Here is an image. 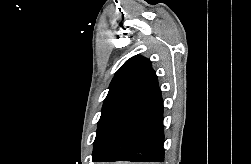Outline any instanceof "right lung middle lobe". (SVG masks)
Returning <instances> with one entry per match:
<instances>
[{
  "label": "right lung middle lobe",
  "mask_w": 251,
  "mask_h": 164,
  "mask_svg": "<svg viewBox=\"0 0 251 164\" xmlns=\"http://www.w3.org/2000/svg\"><path fill=\"white\" fill-rule=\"evenodd\" d=\"M141 93V91L133 89H124L108 93L102 107L101 117L98 121L93 153L102 143L114 122L130 105L138 100Z\"/></svg>",
  "instance_id": "dd1d6c3e"
}]
</instances>
